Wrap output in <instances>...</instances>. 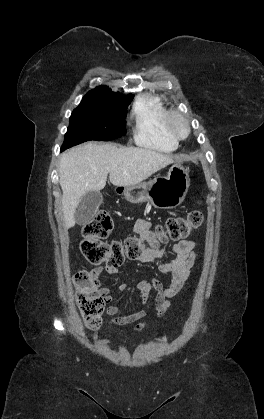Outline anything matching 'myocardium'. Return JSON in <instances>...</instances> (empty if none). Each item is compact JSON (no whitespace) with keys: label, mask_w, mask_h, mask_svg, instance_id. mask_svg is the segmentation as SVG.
<instances>
[{"label":"myocardium","mask_w":264,"mask_h":419,"mask_svg":"<svg viewBox=\"0 0 264 419\" xmlns=\"http://www.w3.org/2000/svg\"><path fill=\"white\" fill-rule=\"evenodd\" d=\"M180 122L184 127V133H179L175 128V122ZM165 128L169 136L176 142L184 140L190 134V124L188 119L179 111L170 110L165 117Z\"/></svg>","instance_id":"obj_1"}]
</instances>
